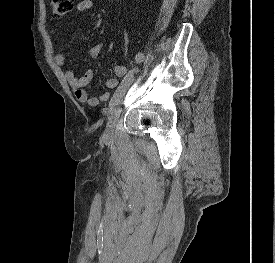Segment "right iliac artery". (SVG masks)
<instances>
[{"instance_id": "82829eb1", "label": "right iliac artery", "mask_w": 275, "mask_h": 263, "mask_svg": "<svg viewBox=\"0 0 275 263\" xmlns=\"http://www.w3.org/2000/svg\"><path fill=\"white\" fill-rule=\"evenodd\" d=\"M144 55L139 53L136 55V64H140L144 61ZM134 72H135V69H132L128 72V74L123 78L120 86L117 88V90L115 91L111 101H110V105L112 104V102L117 99L120 94L129 86V84L131 83L133 77H134Z\"/></svg>"}]
</instances>
